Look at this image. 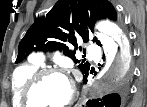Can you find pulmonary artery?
Instances as JSON below:
<instances>
[{"mask_svg": "<svg viewBox=\"0 0 147 107\" xmlns=\"http://www.w3.org/2000/svg\"><path fill=\"white\" fill-rule=\"evenodd\" d=\"M88 50V54L93 57V58H96L98 59L100 57V50L95 47V46H89L87 48ZM33 60L39 62V63H43L44 62V58L42 56H36V57H33Z\"/></svg>", "mask_w": 147, "mask_h": 107, "instance_id": "e3ab8cb5", "label": "pulmonary artery"}]
</instances>
